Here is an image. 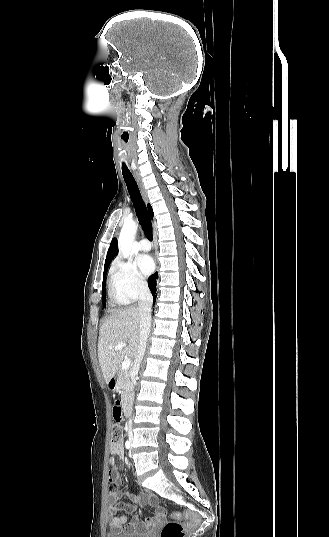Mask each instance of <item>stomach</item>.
Instances as JSON below:
<instances>
[{
    "label": "stomach",
    "mask_w": 329,
    "mask_h": 537,
    "mask_svg": "<svg viewBox=\"0 0 329 537\" xmlns=\"http://www.w3.org/2000/svg\"><path fill=\"white\" fill-rule=\"evenodd\" d=\"M108 387L110 389H112V391H115L117 389V384L115 383V381L113 380V378H111L109 381H108Z\"/></svg>",
    "instance_id": "1"
}]
</instances>
